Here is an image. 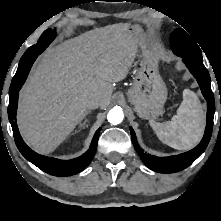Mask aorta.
I'll list each match as a JSON object with an SVG mask.
<instances>
[{
    "instance_id": "1",
    "label": "aorta",
    "mask_w": 221,
    "mask_h": 221,
    "mask_svg": "<svg viewBox=\"0 0 221 221\" xmlns=\"http://www.w3.org/2000/svg\"><path fill=\"white\" fill-rule=\"evenodd\" d=\"M123 118L124 113L119 107L112 108L107 115L108 122L113 125L120 124L123 121Z\"/></svg>"
}]
</instances>
